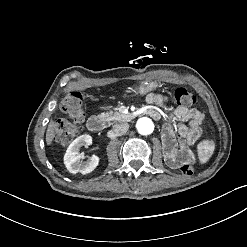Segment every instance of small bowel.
<instances>
[{"label":"small bowel","instance_id":"obj_1","mask_svg":"<svg viewBox=\"0 0 247 247\" xmlns=\"http://www.w3.org/2000/svg\"><path fill=\"white\" fill-rule=\"evenodd\" d=\"M146 101L149 103L148 115L155 120L159 119L160 109L166 105L167 97L160 93H150L147 95ZM202 124L203 114L197 109L178 106L171 110L169 122L164 125L162 130L164 157L170 167L177 168L175 157L178 152L187 150L185 144L192 145L200 139ZM177 134L180 139L177 138Z\"/></svg>","mask_w":247,"mask_h":247}]
</instances>
